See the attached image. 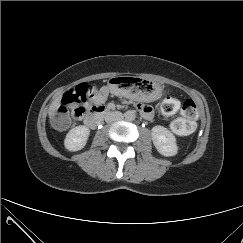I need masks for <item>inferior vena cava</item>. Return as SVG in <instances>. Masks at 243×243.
<instances>
[{
  "mask_svg": "<svg viewBox=\"0 0 243 243\" xmlns=\"http://www.w3.org/2000/svg\"><path fill=\"white\" fill-rule=\"evenodd\" d=\"M122 118H123V114L121 112H118V111H116V112H109L105 116V121L107 123H111V122L120 120Z\"/></svg>",
  "mask_w": 243,
  "mask_h": 243,
  "instance_id": "602c4592",
  "label": "inferior vena cava"
}]
</instances>
